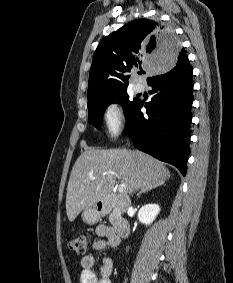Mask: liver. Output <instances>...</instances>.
<instances>
[{"label": "liver", "instance_id": "liver-1", "mask_svg": "<svg viewBox=\"0 0 233 283\" xmlns=\"http://www.w3.org/2000/svg\"><path fill=\"white\" fill-rule=\"evenodd\" d=\"M108 171L118 174L126 187L125 193L152 189L170 178L164 163L139 150L85 149L76 160L68 181L66 213L70 222L82 210L108 198L116 182V176L103 175Z\"/></svg>", "mask_w": 233, "mask_h": 283}]
</instances>
